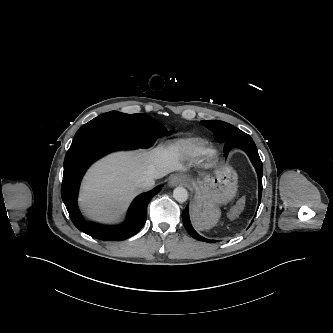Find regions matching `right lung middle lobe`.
Listing matches in <instances>:
<instances>
[{
	"label": "right lung middle lobe",
	"mask_w": 333,
	"mask_h": 333,
	"mask_svg": "<svg viewBox=\"0 0 333 333\" xmlns=\"http://www.w3.org/2000/svg\"><path fill=\"white\" fill-rule=\"evenodd\" d=\"M97 132L117 137L133 144L136 148H149L157 138L173 133V131H167L158 121L145 114H125L111 111L84 124L76 132L74 139Z\"/></svg>",
	"instance_id": "obj_1"
}]
</instances>
